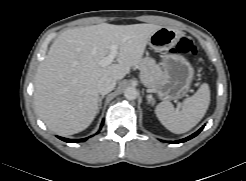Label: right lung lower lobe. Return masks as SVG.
I'll return each mask as SVG.
<instances>
[{
    "label": "right lung lower lobe",
    "mask_w": 246,
    "mask_h": 181,
    "mask_svg": "<svg viewBox=\"0 0 246 181\" xmlns=\"http://www.w3.org/2000/svg\"><path fill=\"white\" fill-rule=\"evenodd\" d=\"M61 140L65 141V142H69V143H73V142H83L86 141L88 138H84V139H67V138H62V137H58Z\"/></svg>",
    "instance_id": "1"
}]
</instances>
